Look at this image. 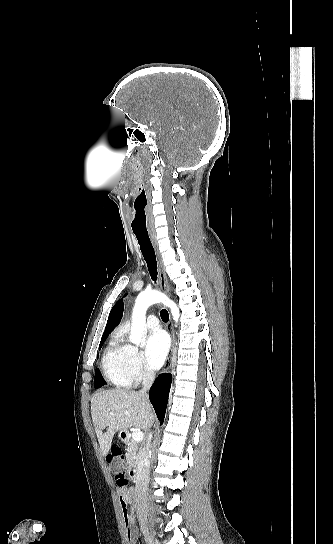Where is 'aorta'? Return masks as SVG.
Here are the masks:
<instances>
[{"mask_svg": "<svg viewBox=\"0 0 333 544\" xmlns=\"http://www.w3.org/2000/svg\"><path fill=\"white\" fill-rule=\"evenodd\" d=\"M159 302L169 307L173 319L176 322L178 321L180 316L179 309L176 303L170 300L165 294L155 290L141 292L136 298L132 312V324L129 336L131 343L137 346L142 343V339L146 331V311L150 305Z\"/></svg>", "mask_w": 333, "mask_h": 544, "instance_id": "aorta-1", "label": "aorta"}]
</instances>
